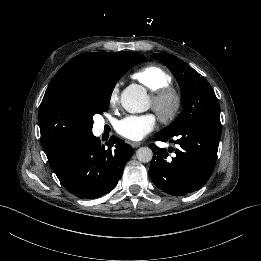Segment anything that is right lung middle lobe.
<instances>
[{
	"label": "right lung middle lobe",
	"mask_w": 261,
	"mask_h": 261,
	"mask_svg": "<svg viewBox=\"0 0 261 261\" xmlns=\"http://www.w3.org/2000/svg\"><path fill=\"white\" fill-rule=\"evenodd\" d=\"M146 58L134 52H123L114 62L100 68L90 80L87 91V108L91 118L109 107L110 97L117 81L134 65Z\"/></svg>",
	"instance_id": "obj_1"
}]
</instances>
